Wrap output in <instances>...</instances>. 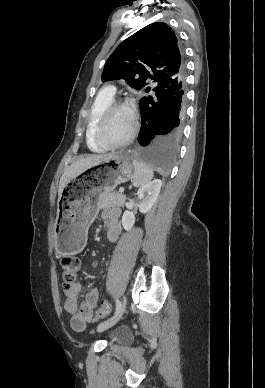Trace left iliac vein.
I'll return each instance as SVG.
<instances>
[{
  "label": "left iliac vein",
  "instance_id": "4c4485c4",
  "mask_svg": "<svg viewBox=\"0 0 265 388\" xmlns=\"http://www.w3.org/2000/svg\"><path fill=\"white\" fill-rule=\"evenodd\" d=\"M125 307H126V297L124 296L122 299L121 308H120L119 312L116 315H114L112 318L99 324L97 327V331L103 332V331L111 328L112 326H114L121 319V317L125 311Z\"/></svg>",
  "mask_w": 265,
  "mask_h": 388
}]
</instances>
